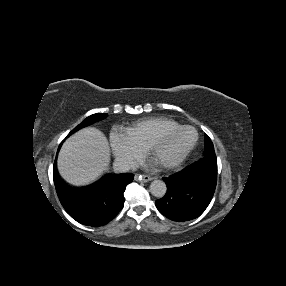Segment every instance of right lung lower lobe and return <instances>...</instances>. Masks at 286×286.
Listing matches in <instances>:
<instances>
[{"label":"right lung lower lobe","instance_id":"1","mask_svg":"<svg viewBox=\"0 0 286 286\" xmlns=\"http://www.w3.org/2000/svg\"><path fill=\"white\" fill-rule=\"evenodd\" d=\"M133 178L130 173L108 174L86 188H74L57 174L56 161L53 167L54 184L62 206L77 222L92 227L103 226L118 214L124 206L123 193Z\"/></svg>","mask_w":286,"mask_h":286}]
</instances>
